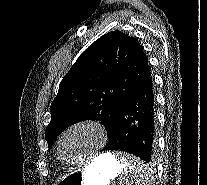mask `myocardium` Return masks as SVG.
<instances>
[{
    "instance_id": "1",
    "label": "myocardium",
    "mask_w": 207,
    "mask_h": 185,
    "mask_svg": "<svg viewBox=\"0 0 207 185\" xmlns=\"http://www.w3.org/2000/svg\"><path fill=\"white\" fill-rule=\"evenodd\" d=\"M79 127H90L92 128L97 134L98 136L101 138V140H104L107 138L108 136V132L106 130V128L104 127V125L102 123H100L97 120H93V119H84V120H80L77 122H74L73 124H71L70 126H68L61 134V136L59 137L58 143H57V153L58 156L60 157V159L68 164H80L82 162H84L85 160H88L90 158L96 157L99 154L98 149L88 153L87 155H85L84 157L75 159V160H68L67 158L64 157L63 153H62V142L64 140V138L74 129L79 128Z\"/></svg>"
}]
</instances>
